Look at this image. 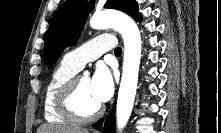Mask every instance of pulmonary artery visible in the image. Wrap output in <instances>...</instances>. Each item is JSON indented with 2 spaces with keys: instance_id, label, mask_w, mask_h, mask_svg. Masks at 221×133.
I'll use <instances>...</instances> for the list:
<instances>
[{
  "instance_id": "1",
  "label": "pulmonary artery",
  "mask_w": 221,
  "mask_h": 133,
  "mask_svg": "<svg viewBox=\"0 0 221 133\" xmlns=\"http://www.w3.org/2000/svg\"><path fill=\"white\" fill-rule=\"evenodd\" d=\"M115 47L116 41L113 35L104 33L65 54L63 61L81 70L86 63L99 58L103 53Z\"/></svg>"
}]
</instances>
